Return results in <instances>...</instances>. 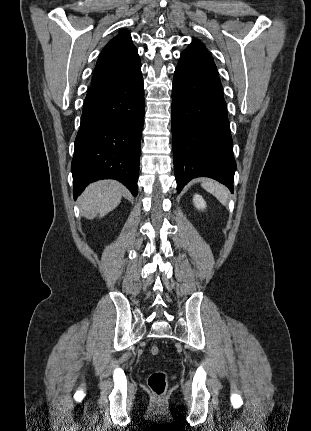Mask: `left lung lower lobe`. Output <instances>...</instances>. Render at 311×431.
Wrapping results in <instances>:
<instances>
[{"label": "left lung lower lobe", "instance_id": "1", "mask_svg": "<svg viewBox=\"0 0 311 431\" xmlns=\"http://www.w3.org/2000/svg\"><path fill=\"white\" fill-rule=\"evenodd\" d=\"M172 139L177 192L205 176L233 193L236 162L227 105L209 52L186 49L175 69L172 90Z\"/></svg>", "mask_w": 311, "mask_h": 431}]
</instances>
